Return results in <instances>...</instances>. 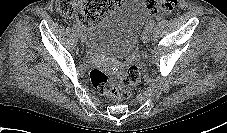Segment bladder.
<instances>
[{
	"instance_id": "31cf9c89",
	"label": "bladder",
	"mask_w": 227,
	"mask_h": 133,
	"mask_svg": "<svg viewBox=\"0 0 227 133\" xmlns=\"http://www.w3.org/2000/svg\"><path fill=\"white\" fill-rule=\"evenodd\" d=\"M146 18V0H126L93 30L88 51L113 58L128 57Z\"/></svg>"
}]
</instances>
